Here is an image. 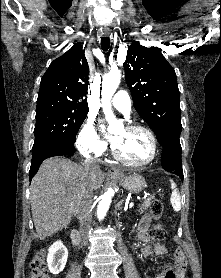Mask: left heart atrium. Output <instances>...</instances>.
I'll return each mask as SVG.
<instances>
[{"label": "left heart atrium", "mask_w": 221, "mask_h": 278, "mask_svg": "<svg viewBox=\"0 0 221 278\" xmlns=\"http://www.w3.org/2000/svg\"><path fill=\"white\" fill-rule=\"evenodd\" d=\"M111 141L116 144L118 142V137L117 136H114V137H111Z\"/></svg>", "instance_id": "obj_1"}]
</instances>
